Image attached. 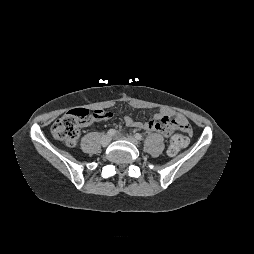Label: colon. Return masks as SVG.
Instances as JSON below:
<instances>
[{"label":"colon","instance_id":"obj_1","mask_svg":"<svg viewBox=\"0 0 254 254\" xmlns=\"http://www.w3.org/2000/svg\"><path fill=\"white\" fill-rule=\"evenodd\" d=\"M98 116L99 111H88L82 108L74 109L53 123L51 128L52 135L56 140L73 147L77 144L82 125L86 121L95 119ZM171 128L178 133L172 137L168 153L175 155L181 148L187 145L188 139L181 133H188L190 127L186 121L174 120L171 123Z\"/></svg>","mask_w":254,"mask_h":254}]
</instances>
